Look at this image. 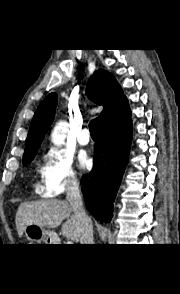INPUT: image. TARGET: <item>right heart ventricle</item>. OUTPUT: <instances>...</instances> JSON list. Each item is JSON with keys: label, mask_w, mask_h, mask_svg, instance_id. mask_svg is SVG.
<instances>
[{"label": "right heart ventricle", "mask_w": 180, "mask_h": 294, "mask_svg": "<svg viewBox=\"0 0 180 294\" xmlns=\"http://www.w3.org/2000/svg\"><path fill=\"white\" fill-rule=\"evenodd\" d=\"M35 189H36V191H38L39 190V186L37 185V186H35Z\"/></svg>", "instance_id": "right-heart-ventricle-1"}]
</instances>
